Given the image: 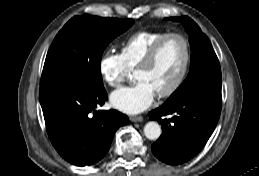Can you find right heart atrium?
Instances as JSON below:
<instances>
[{
    "label": "right heart atrium",
    "instance_id": "1",
    "mask_svg": "<svg viewBox=\"0 0 259 176\" xmlns=\"http://www.w3.org/2000/svg\"><path fill=\"white\" fill-rule=\"evenodd\" d=\"M98 70L104 83L114 88L120 87L130 72L120 54L114 52L102 55Z\"/></svg>",
    "mask_w": 259,
    "mask_h": 176
}]
</instances>
